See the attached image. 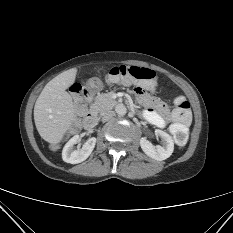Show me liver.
Masks as SVG:
<instances>
[{
  "label": "liver",
  "instance_id": "6515ba94",
  "mask_svg": "<svg viewBox=\"0 0 233 233\" xmlns=\"http://www.w3.org/2000/svg\"><path fill=\"white\" fill-rule=\"evenodd\" d=\"M76 74V68L62 72L45 85L36 100L35 126L41 138L50 144H58L76 119V106L66 91Z\"/></svg>",
  "mask_w": 233,
  "mask_h": 233
}]
</instances>
